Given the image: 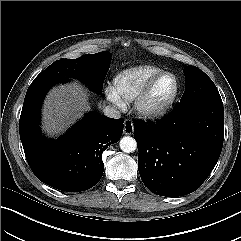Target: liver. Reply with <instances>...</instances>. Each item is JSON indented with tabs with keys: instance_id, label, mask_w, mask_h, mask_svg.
<instances>
[{
	"instance_id": "obj_1",
	"label": "liver",
	"mask_w": 241,
	"mask_h": 241,
	"mask_svg": "<svg viewBox=\"0 0 241 241\" xmlns=\"http://www.w3.org/2000/svg\"><path fill=\"white\" fill-rule=\"evenodd\" d=\"M88 110L87 93L78 83L54 88L44 102L43 129L59 134Z\"/></svg>"
}]
</instances>
